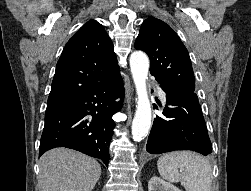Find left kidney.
Returning <instances> with one entry per match:
<instances>
[{"instance_id": "obj_1", "label": "left kidney", "mask_w": 251, "mask_h": 191, "mask_svg": "<svg viewBox=\"0 0 251 191\" xmlns=\"http://www.w3.org/2000/svg\"><path fill=\"white\" fill-rule=\"evenodd\" d=\"M148 191H181V189L173 185V183H168V181H164L161 177L153 175L148 181Z\"/></svg>"}]
</instances>
